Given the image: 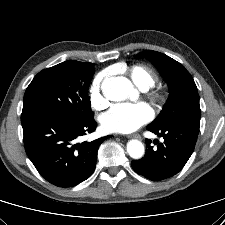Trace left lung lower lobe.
Listing matches in <instances>:
<instances>
[{
    "label": "left lung lower lobe",
    "mask_w": 225,
    "mask_h": 225,
    "mask_svg": "<svg viewBox=\"0 0 225 225\" xmlns=\"http://www.w3.org/2000/svg\"><path fill=\"white\" fill-rule=\"evenodd\" d=\"M147 130L164 138L157 149L146 139V153L140 160L131 162L132 168L140 175L152 181H160L177 174L184 167L194 151L199 129L184 126H168Z\"/></svg>",
    "instance_id": "1"
}]
</instances>
